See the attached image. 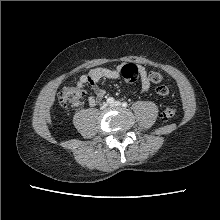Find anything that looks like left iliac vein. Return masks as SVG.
Masks as SVG:
<instances>
[{
	"label": "left iliac vein",
	"mask_w": 220,
	"mask_h": 220,
	"mask_svg": "<svg viewBox=\"0 0 220 220\" xmlns=\"http://www.w3.org/2000/svg\"><path fill=\"white\" fill-rule=\"evenodd\" d=\"M111 106L120 107L121 106V102L120 101H115Z\"/></svg>",
	"instance_id": "left-iliac-vein-1"
}]
</instances>
